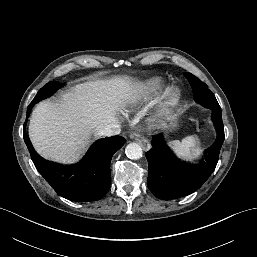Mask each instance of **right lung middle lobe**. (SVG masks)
Returning <instances> with one entry per match:
<instances>
[{
  "label": "right lung middle lobe",
  "mask_w": 257,
  "mask_h": 257,
  "mask_svg": "<svg viewBox=\"0 0 257 257\" xmlns=\"http://www.w3.org/2000/svg\"><path fill=\"white\" fill-rule=\"evenodd\" d=\"M61 86L62 84H56L54 81L47 83L42 89L39 90V92L37 93L33 101L30 103V105L33 106L41 99L50 96L52 93L56 91V89H58Z\"/></svg>",
  "instance_id": "1"
}]
</instances>
